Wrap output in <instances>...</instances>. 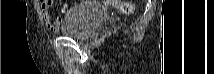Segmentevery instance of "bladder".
<instances>
[{"instance_id": "obj_1", "label": "bladder", "mask_w": 214, "mask_h": 74, "mask_svg": "<svg viewBox=\"0 0 214 74\" xmlns=\"http://www.w3.org/2000/svg\"><path fill=\"white\" fill-rule=\"evenodd\" d=\"M106 17V12L94 2H83L71 10L59 31L66 37L86 39L91 36L96 26L105 21Z\"/></svg>"}]
</instances>
